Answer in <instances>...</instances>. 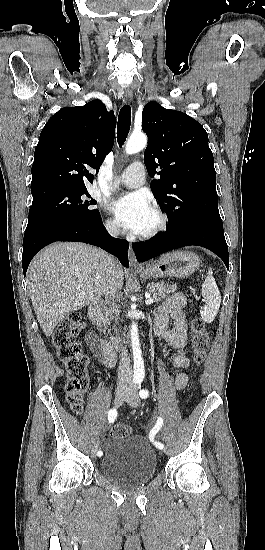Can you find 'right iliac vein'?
Wrapping results in <instances>:
<instances>
[{"label":"right iliac vein","mask_w":265,"mask_h":550,"mask_svg":"<svg viewBox=\"0 0 265 550\" xmlns=\"http://www.w3.org/2000/svg\"><path fill=\"white\" fill-rule=\"evenodd\" d=\"M127 394H128V390L125 386H122V385L118 386L115 394V405L120 406L123 403L124 399L126 398ZM96 450H97V446L93 451L94 457L96 456Z\"/></svg>","instance_id":"63e3f726"}]
</instances>
